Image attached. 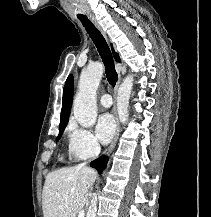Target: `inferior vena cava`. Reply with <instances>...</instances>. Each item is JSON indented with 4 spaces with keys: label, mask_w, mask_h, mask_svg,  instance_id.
I'll list each match as a JSON object with an SVG mask.
<instances>
[{
    "label": "inferior vena cava",
    "mask_w": 211,
    "mask_h": 217,
    "mask_svg": "<svg viewBox=\"0 0 211 217\" xmlns=\"http://www.w3.org/2000/svg\"><path fill=\"white\" fill-rule=\"evenodd\" d=\"M99 151H100V146L97 145V146L95 147V153H97V152H99ZM85 164H86V163H82V164H80V166H85Z\"/></svg>",
    "instance_id": "602c4592"
}]
</instances>
